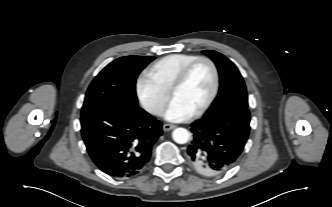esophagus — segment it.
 I'll return each mask as SVG.
<instances>
[{"label":"esophagus","instance_id":"esophagus-1","mask_svg":"<svg viewBox=\"0 0 332 207\" xmlns=\"http://www.w3.org/2000/svg\"><path fill=\"white\" fill-rule=\"evenodd\" d=\"M175 127H176V126L173 125V124H164V125H163V130H164V131H169V130L174 129Z\"/></svg>","mask_w":332,"mask_h":207}]
</instances>
